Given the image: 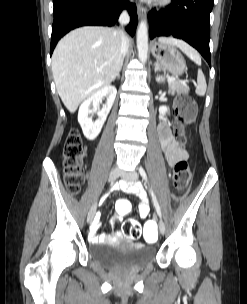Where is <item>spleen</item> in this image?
Masks as SVG:
<instances>
[{
    "instance_id": "spleen-1",
    "label": "spleen",
    "mask_w": 247,
    "mask_h": 304,
    "mask_svg": "<svg viewBox=\"0 0 247 304\" xmlns=\"http://www.w3.org/2000/svg\"><path fill=\"white\" fill-rule=\"evenodd\" d=\"M195 63L201 64V59L196 52L186 53ZM207 84L205 76L201 69L198 70L197 73V87H196V94L199 96H204L206 92Z\"/></svg>"
}]
</instances>
